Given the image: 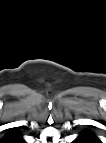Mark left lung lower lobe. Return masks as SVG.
<instances>
[{
  "label": "left lung lower lobe",
  "instance_id": "obj_1",
  "mask_svg": "<svg viewBox=\"0 0 106 143\" xmlns=\"http://www.w3.org/2000/svg\"><path fill=\"white\" fill-rule=\"evenodd\" d=\"M75 143H89V141L84 138L82 135H79L75 140Z\"/></svg>",
  "mask_w": 106,
  "mask_h": 143
}]
</instances>
